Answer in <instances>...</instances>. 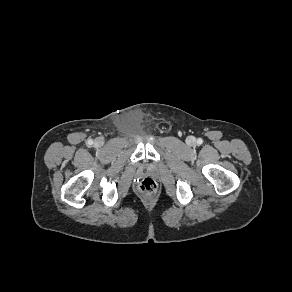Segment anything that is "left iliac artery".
I'll use <instances>...</instances> for the list:
<instances>
[{
  "mask_svg": "<svg viewBox=\"0 0 292 292\" xmlns=\"http://www.w3.org/2000/svg\"><path fill=\"white\" fill-rule=\"evenodd\" d=\"M202 142H203V140H202L201 138H199V139L197 140V143H198V144H202Z\"/></svg>",
  "mask_w": 292,
  "mask_h": 292,
  "instance_id": "left-iliac-artery-1",
  "label": "left iliac artery"
}]
</instances>
